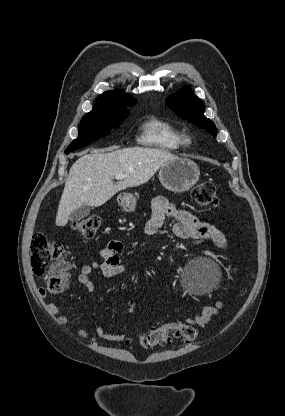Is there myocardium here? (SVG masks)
I'll return each mask as SVG.
<instances>
[{
	"label": "myocardium",
	"instance_id": "1",
	"mask_svg": "<svg viewBox=\"0 0 285 416\" xmlns=\"http://www.w3.org/2000/svg\"><path fill=\"white\" fill-rule=\"evenodd\" d=\"M192 143V137L189 134L183 135V144L190 145Z\"/></svg>",
	"mask_w": 285,
	"mask_h": 416
}]
</instances>
